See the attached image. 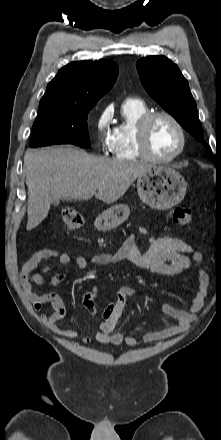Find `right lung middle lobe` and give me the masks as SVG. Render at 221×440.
I'll list each match as a JSON object with an SVG mask.
<instances>
[{
    "mask_svg": "<svg viewBox=\"0 0 221 440\" xmlns=\"http://www.w3.org/2000/svg\"><path fill=\"white\" fill-rule=\"evenodd\" d=\"M93 106L55 101L40 102L39 112L33 124L30 147L75 144L89 148L87 116Z\"/></svg>",
    "mask_w": 221,
    "mask_h": 440,
    "instance_id": "dd1d6c3e",
    "label": "right lung middle lobe"
}]
</instances>
